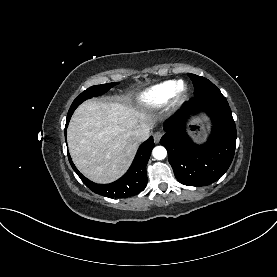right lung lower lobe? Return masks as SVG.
<instances>
[{
	"label": "right lung lower lobe",
	"instance_id": "right-lung-lower-lobe-1",
	"mask_svg": "<svg viewBox=\"0 0 277 277\" xmlns=\"http://www.w3.org/2000/svg\"><path fill=\"white\" fill-rule=\"evenodd\" d=\"M68 123L69 120L66 121L65 129H67ZM154 146L153 137L151 136L139 147L133 163L126 174L110 184H97L85 178L73 164L69 153L68 158L72 168L78 174L82 182L94 193L109 198L129 197L140 193L147 185L146 165Z\"/></svg>",
	"mask_w": 277,
	"mask_h": 277
}]
</instances>
